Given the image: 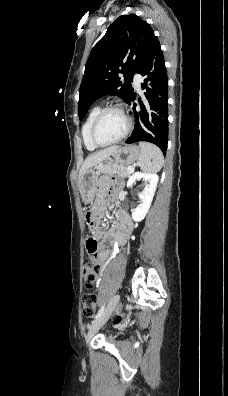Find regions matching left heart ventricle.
Returning a JSON list of instances; mask_svg holds the SVG:
<instances>
[{
	"mask_svg": "<svg viewBox=\"0 0 228 396\" xmlns=\"http://www.w3.org/2000/svg\"><path fill=\"white\" fill-rule=\"evenodd\" d=\"M126 128V120L119 111H109L100 120L96 137L100 142L107 143L118 138Z\"/></svg>",
	"mask_w": 228,
	"mask_h": 396,
	"instance_id": "1",
	"label": "left heart ventricle"
}]
</instances>
